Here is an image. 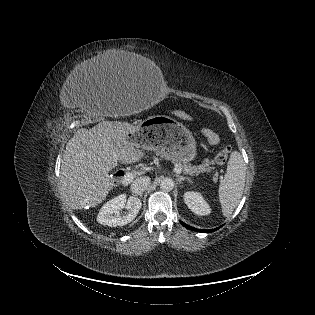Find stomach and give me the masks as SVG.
Wrapping results in <instances>:
<instances>
[{"label": "stomach", "instance_id": "1", "mask_svg": "<svg viewBox=\"0 0 315 315\" xmlns=\"http://www.w3.org/2000/svg\"><path fill=\"white\" fill-rule=\"evenodd\" d=\"M131 136L141 148L173 162L187 163L196 156V141L192 133L169 116L156 115L142 120Z\"/></svg>", "mask_w": 315, "mask_h": 315}]
</instances>
